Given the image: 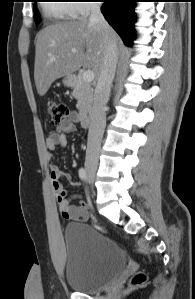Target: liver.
I'll use <instances>...</instances> for the list:
<instances>
[{
  "instance_id": "1",
  "label": "liver",
  "mask_w": 195,
  "mask_h": 299,
  "mask_svg": "<svg viewBox=\"0 0 195 299\" xmlns=\"http://www.w3.org/2000/svg\"><path fill=\"white\" fill-rule=\"evenodd\" d=\"M112 30V29H111ZM105 31L88 19L59 22L42 29L35 39L34 79L37 92L44 96L51 84L70 76L82 66L99 77L104 58ZM111 34L116 38V33ZM72 49H76L72 53Z\"/></svg>"
}]
</instances>
